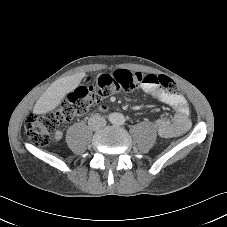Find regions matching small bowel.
Returning a JSON list of instances; mask_svg holds the SVG:
<instances>
[{
  "label": "small bowel",
  "instance_id": "small-bowel-1",
  "mask_svg": "<svg viewBox=\"0 0 227 227\" xmlns=\"http://www.w3.org/2000/svg\"><path fill=\"white\" fill-rule=\"evenodd\" d=\"M156 76V75H155ZM96 82L93 74H88L82 79L85 87H90ZM143 91L162 103L173 108L175 115L172 119L160 117L155 121V127L158 134L163 138H172L187 132L191 126L189 119L190 108L185 97L179 93H171L157 84H145ZM62 133H56V138L60 139Z\"/></svg>",
  "mask_w": 227,
  "mask_h": 227
}]
</instances>
